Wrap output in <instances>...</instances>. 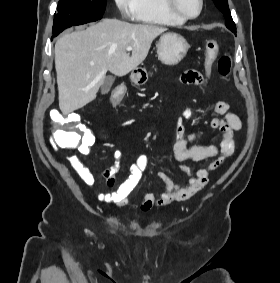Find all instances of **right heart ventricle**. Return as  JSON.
Masks as SVG:
<instances>
[{
	"mask_svg": "<svg viewBox=\"0 0 280 283\" xmlns=\"http://www.w3.org/2000/svg\"><path fill=\"white\" fill-rule=\"evenodd\" d=\"M133 18L143 24L178 26L185 20L172 14L165 0H136Z\"/></svg>",
	"mask_w": 280,
	"mask_h": 283,
	"instance_id": "right-heart-ventricle-1",
	"label": "right heart ventricle"
}]
</instances>
